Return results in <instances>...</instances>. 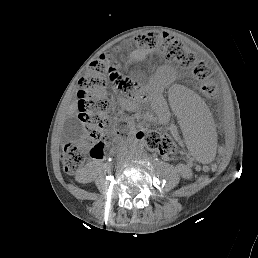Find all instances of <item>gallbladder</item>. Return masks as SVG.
<instances>
[{
	"label": "gallbladder",
	"instance_id": "gallbladder-1",
	"mask_svg": "<svg viewBox=\"0 0 258 258\" xmlns=\"http://www.w3.org/2000/svg\"><path fill=\"white\" fill-rule=\"evenodd\" d=\"M64 132L66 136L73 141L81 139L85 134L86 130L79 119L69 118L64 123Z\"/></svg>",
	"mask_w": 258,
	"mask_h": 258
}]
</instances>
